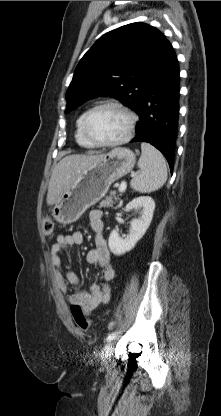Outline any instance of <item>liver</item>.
Returning <instances> with one entry per match:
<instances>
[{
    "label": "liver",
    "instance_id": "obj_1",
    "mask_svg": "<svg viewBox=\"0 0 221 416\" xmlns=\"http://www.w3.org/2000/svg\"><path fill=\"white\" fill-rule=\"evenodd\" d=\"M103 156L104 154H73L61 159L52 170L48 186L47 204H56L77 175L98 162Z\"/></svg>",
    "mask_w": 221,
    "mask_h": 416
}]
</instances>
